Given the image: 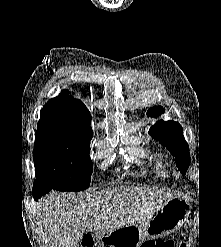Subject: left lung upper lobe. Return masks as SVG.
Segmentation results:
<instances>
[{
	"instance_id": "1",
	"label": "left lung upper lobe",
	"mask_w": 221,
	"mask_h": 247,
	"mask_svg": "<svg viewBox=\"0 0 221 247\" xmlns=\"http://www.w3.org/2000/svg\"><path fill=\"white\" fill-rule=\"evenodd\" d=\"M163 112L162 106H154L147 111V116L158 117ZM149 134L175 156L178 168L183 174H186L190 164L189 146L184 139L183 129L179 123L160 120L150 128Z\"/></svg>"
}]
</instances>
